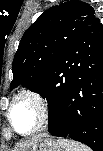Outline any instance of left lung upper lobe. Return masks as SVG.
<instances>
[{"instance_id": "obj_1", "label": "left lung upper lobe", "mask_w": 103, "mask_h": 151, "mask_svg": "<svg viewBox=\"0 0 103 151\" xmlns=\"http://www.w3.org/2000/svg\"><path fill=\"white\" fill-rule=\"evenodd\" d=\"M100 23L88 3L70 0L46 10L24 33L14 56L11 89L38 92L67 50L93 24ZM101 24V23H100Z\"/></svg>"}]
</instances>
